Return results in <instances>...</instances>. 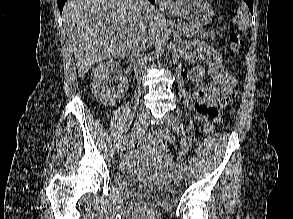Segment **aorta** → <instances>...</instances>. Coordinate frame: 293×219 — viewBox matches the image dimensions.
I'll list each match as a JSON object with an SVG mask.
<instances>
[{
	"label": "aorta",
	"instance_id": "aorta-1",
	"mask_svg": "<svg viewBox=\"0 0 293 219\" xmlns=\"http://www.w3.org/2000/svg\"><path fill=\"white\" fill-rule=\"evenodd\" d=\"M155 38V54L156 57L159 58L164 53V49L168 41V33L165 28L164 22L161 19H158L157 21V30Z\"/></svg>",
	"mask_w": 293,
	"mask_h": 219
}]
</instances>
